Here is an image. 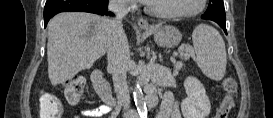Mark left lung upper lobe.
I'll return each mask as SVG.
<instances>
[{
    "instance_id": "1",
    "label": "left lung upper lobe",
    "mask_w": 273,
    "mask_h": 118,
    "mask_svg": "<svg viewBox=\"0 0 273 118\" xmlns=\"http://www.w3.org/2000/svg\"><path fill=\"white\" fill-rule=\"evenodd\" d=\"M203 19L213 20L215 22H225V9L223 0H209L206 12L202 15Z\"/></svg>"
}]
</instances>
